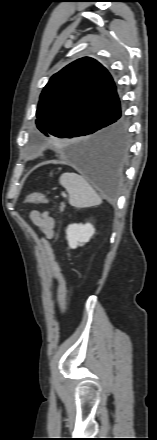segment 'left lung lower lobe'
I'll return each mask as SVG.
<instances>
[{
  "label": "left lung lower lobe",
  "mask_w": 157,
  "mask_h": 440,
  "mask_svg": "<svg viewBox=\"0 0 157 440\" xmlns=\"http://www.w3.org/2000/svg\"><path fill=\"white\" fill-rule=\"evenodd\" d=\"M69 160L104 193L112 194L121 178L129 149L126 116L120 109L97 134L82 144L66 145Z\"/></svg>",
  "instance_id": "0a47b994"
}]
</instances>
